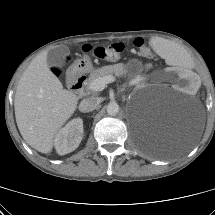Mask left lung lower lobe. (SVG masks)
<instances>
[{"label": "left lung lower lobe", "instance_id": "1", "mask_svg": "<svg viewBox=\"0 0 215 215\" xmlns=\"http://www.w3.org/2000/svg\"><path fill=\"white\" fill-rule=\"evenodd\" d=\"M174 152H175V151H174V150H171V149H168V150L166 151V153L169 154V155L173 154Z\"/></svg>", "mask_w": 215, "mask_h": 215}]
</instances>
